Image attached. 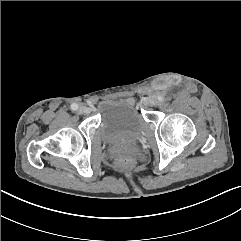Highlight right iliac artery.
I'll return each mask as SVG.
<instances>
[{
	"mask_svg": "<svg viewBox=\"0 0 241 241\" xmlns=\"http://www.w3.org/2000/svg\"><path fill=\"white\" fill-rule=\"evenodd\" d=\"M71 109H72L73 111L77 110V109H78V105L75 104V103H73V104L71 105Z\"/></svg>",
	"mask_w": 241,
	"mask_h": 241,
	"instance_id": "obj_1",
	"label": "right iliac artery"
}]
</instances>
